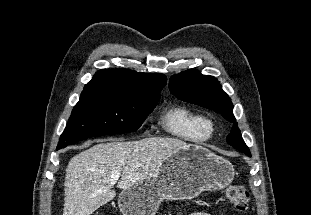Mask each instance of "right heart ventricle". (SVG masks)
Here are the masks:
<instances>
[{"instance_id":"1","label":"right heart ventricle","mask_w":311,"mask_h":215,"mask_svg":"<svg viewBox=\"0 0 311 215\" xmlns=\"http://www.w3.org/2000/svg\"><path fill=\"white\" fill-rule=\"evenodd\" d=\"M161 123L166 132L189 142H204L212 133L205 115L182 105L168 108L161 117Z\"/></svg>"}]
</instances>
